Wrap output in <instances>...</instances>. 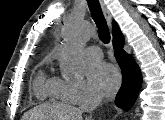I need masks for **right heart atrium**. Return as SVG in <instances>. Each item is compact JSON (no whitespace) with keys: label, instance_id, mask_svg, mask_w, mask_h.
<instances>
[{"label":"right heart atrium","instance_id":"1","mask_svg":"<svg viewBox=\"0 0 165 120\" xmlns=\"http://www.w3.org/2000/svg\"><path fill=\"white\" fill-rule=\"evenodd\" d=\"M56 85L62 98L70 103L81 104L95 99L83 80H62L56 78Z\"/></svg>","mask_w":165,"mask_h":120}]
</instances>
